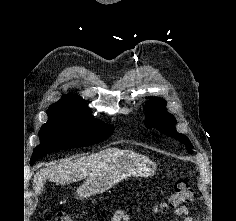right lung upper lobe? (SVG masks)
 <instances>
[{"label":"right lung upper lobe","mask_w":236,"mask_h":221,"mask_svg":"<svg viewBox=\"0 0 236 221\" xmlns=\"http://www.w3.org/2000/svg\"><path fill=\"white\" fill-rule=\"evenodd\" d=\"M63 106L81 111H89L87 103L77 95H64L59 101L52 104L50 107ZM90 112V111H89Z\"/></svg>","instance_id":"1"}]
</instances>
